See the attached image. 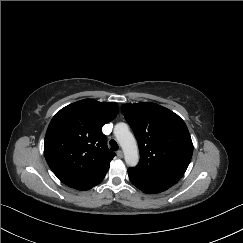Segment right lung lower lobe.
Returning <instances> with one entry per match:
<instances>
[{
  "instance_id": "obj_1",
  "label": "right lung lower lobe",
  "mask_w": 243,
  "mask_h": 243,
  "mask_svg": "<svg viewBox=\"0 0 243 243\" xmlns=\"http://www.w3.org/2000/svg\"><path fill=\"white\" fill-rule=\"evenodd\" d=\"M108 169L102 171L101 173H99L98 175L92 177L90 180L70 186L72 188L78 189V190H88L92 187H94L95 185L99 184L103 178L105 177L106 173H107Z\"/></svg>"
}]
</instances>
